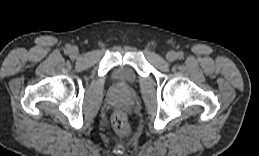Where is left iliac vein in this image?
Returning a JSON list of instances; mask_svg holds the SVG:
<instances>
[{
  "label": "left iliac vein",
  "mask_w": 259,
  "mask_h": 156,
  "mask_svg": "<svg viewBox=\"0 0 259 156\" xmlns=\"http://www.w3.org/2000/svg\"><path fill=\"white\" fill-rule=\"evenodd\" d=\"M166 59L169 61V62H173L177 59V54L174 52V51H169L167 54H166Z\"/></svg>",
  "instance_id": "left-iliac-vein-1"
}]
</instances>
